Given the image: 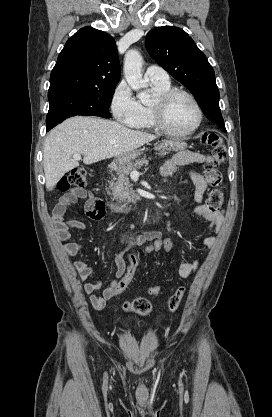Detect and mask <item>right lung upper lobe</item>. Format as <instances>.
I'll return each mask as SVG.
<instances>
[{
	"label": "right lung upper lobe",
	"mask_w": 272,
	"mask_h": 417,
	"mask_svg": "<svg viewBox=\"0 0 272 417\" xmlns=\"http://www.w3.org/2000/svg\"><path fill=\"white\" fill-rule=\"evenodd\" d=\"M119 79L120 65L113 37L84 27L68 39L59 54L48 92L106 90L116 87Z\"/></svg>",
	"instance_id": "cb5924a9"
}]
</instances>
